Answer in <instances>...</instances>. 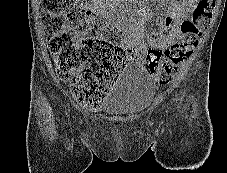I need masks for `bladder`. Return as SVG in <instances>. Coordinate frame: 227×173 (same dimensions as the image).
<instances>
[{
	"mask_svg": "<svg viewBox=\"0 0 227 173\" xmlns=\"http://www.w3.org/2000/svg\"><path fill=\"white\" fill-rule=\"evenodd\" d=\"M153 80L149 72L138 63H130L112 85L100 110L108 114L137 112L153 94Z\"/></svg>",
	"mask_w": 227,
	"mask_h": 173,
	"instance_id": "31cf9c89",
	"label": "bladder"
}]
</instances>
